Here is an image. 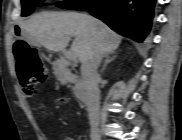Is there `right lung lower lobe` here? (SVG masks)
Returning <instances> with one entry per match:
<instances>
[{
	"label": "right lung lower lobe",
	"mask_w": 182,
	"mask_h": 140,
	"mask_svg": "<svg viewBox=\"0 0 182 140\" xmlns=\"http://www.w3.org/2000/svg\"><path fill=\"white\" fill-rule=\"evenodd\" d=\"M155 2L156 0H100L83 10L104 21L114 31L142 42L151 28Z\"/></svg>",
	"instance_id": "obj_1"
}]
</instances>
